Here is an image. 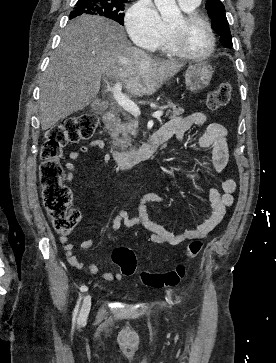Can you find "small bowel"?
Wrapping results in <instances>:
<instances>
[{
  "label": "small bowel",
  "instance_id": "obj_1",
  "mask_svg": "<svg viewBox=\"0 0 276 363\" xmlns=\"http://www.w3.org/2000/svg\"><path fill=\"white\" fill-rule=\"evenodd\" d=\"M208 117L204 112H195L188 116H177L171 119L165 126L158 130L168 136H176L179 140H183L185 133L193 126H201L207 123ZM196 145L201 149L212 150L211 169L214 173H221L227 166L229 161V150L227 141V130L220 123H209L205 132L197 139ZM91 148H103V142L93 140L87 145H82L78 150L71 151L68 154L70 159L65 164V168L69 171L66 180L71 182L75 178L77 169L73 161L78 160L82 154L89 153ZM236 190V182L232 178H225L221 182V190L212 189L209 193L210 211L204 215L199 222L191 229L173 233L164 226L152 221L147 213L146 205L148 203H162L163 197L157 193H147L143 195L139 202V215L129 218L126 212L121 211L114 219L111 229L118 230L122 224L131 227L142 224L151 234V241L160 244L178 245L186 240L204 238L209 235L216 226H218L225 215L226 208L233 203L232 194ZM63 244L65 255L69 264L77 269L85 270L93 275H99L101 279L113 282L123 279L120 272L100 273V268L95 264H85L78 260L73 252V245L68 242L64 236L60 237ZM94 245L92 239L84 240L80 247L84 251L90 250Z\"/></svg>",
  "mask_w": 276,
  "mask_h": 363
}]
</instances>
